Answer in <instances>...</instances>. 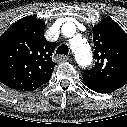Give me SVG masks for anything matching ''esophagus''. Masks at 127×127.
<instances>
[{
  "label": "esophagus",
  "mask_w": 127,
  "mask_h": 127,
  "mask_svg": "<svg viewBox=\"0 0 127 127\" xmlns=\"http://www.w3.org/2000/svg\"><path fill=\"white\" fill-rule=\"evenodd\" d=\"M70 58L68 56H64V55H58L57 56V60L59 62H65V61H68Z\"/></svg>",
  "instance_id": "1"
}]
</instances>
